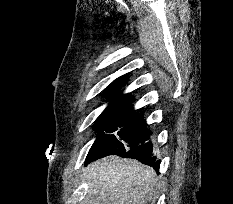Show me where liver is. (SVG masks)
Instances as JSON below:
<instances>
[{
    "mask_svg": "<svg viewBox=\"0 0 233 204\" xmlns=\"http://www.w3.org/2000/svg\"><path fill=\"white\" fill-rule=\"evenodd\" d=\"M85 181L97 204H147L156 198V173L137 160L109 156L88 165Z\"/></svg>",
    "mask_w": 233,
    "mask_h": 204,
    "instance_id": "1",
    "label": "liver"
}]
</instances>
